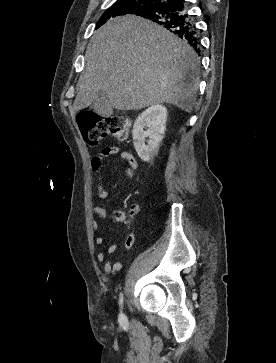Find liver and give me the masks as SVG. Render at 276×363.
Returning a JSON list of instances; mask_svg holds the SVG:
<instances>
[{
  "label": "liver",
  "instance_id": "obj_1",
  "mask_svg": "<svg viewBox=\"0 0 276 363\" xmlns=\"http://www.w3.org/2000/svg\"><path fill=\"white\" fill-rule=\"evenodd\" d=\"M80 77L75 111L104 93L120 111L161 103L191 112L199 83L200 62L193 48L165 28L144 18H112L90 39Z\"/></svg>",
  "mask_w": 276,
  "mask_h": 363
}]
</instances>
